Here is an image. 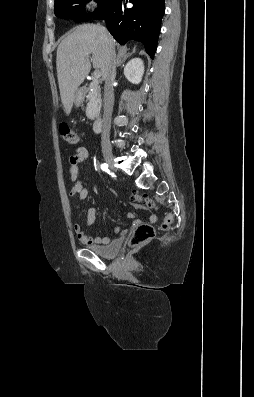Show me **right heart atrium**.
Instances as JSON below:
<instances>
[{
	"label": "right heart atrium",
	"instance_id": "d8ad5b80",
	"mask_svg": "<svg viewBox=\"0 0 254 397\" xmlns=\"http://www.w3.org/2000/svg\"><path fill=\"white\" fill-rule=\"evenodd\" d=\"M84 7L87 10H93L96 7V2L94 0H86L85 4H84Z\"/></svg>",
	"mask_w": 254,
	"mask_h": 397
}]
</instances>
